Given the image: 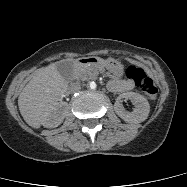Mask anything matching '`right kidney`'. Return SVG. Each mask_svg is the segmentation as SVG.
<instances>
[{
  "label": "right kidney",
  "instance_id": "right-kidney-1",
  "mask_svg": "<svg viewBox=\"0 0 187 187\" xmlns=\"http://www.w3.org/2000/svg\"><path fill=\"white\" fill-rule=\"evenodd\" d=\"M68 111V107L65 103H57L53 110L48 114V116L43 121V126L47 128H55L59 126Z\"/></svg>",
  "mask_w": 187,
  "mask_h": 187
}]
</instances>
